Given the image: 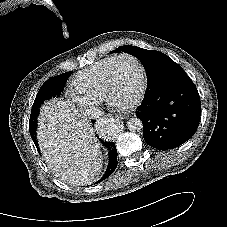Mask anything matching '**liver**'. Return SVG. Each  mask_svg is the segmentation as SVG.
<instances>
[{
  "label": "liver",
  "instance_id": "obj_1",
  "mask_svg": "<svg viewBox=\"0 0 227 227\" xmlns=\"http://www.w3.org/2000/svg\"><path fill=\"white\" fill-rule=\"evenodd\" d=\"M37 138L49 169L74 186L96 181L103 165L100 143L87 118L63 99L45 103Z\"/></svg>",
  "mask_w": 227,
  "mask_h": 227
}]
</instances>
